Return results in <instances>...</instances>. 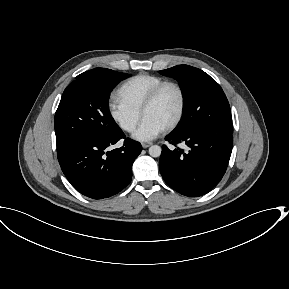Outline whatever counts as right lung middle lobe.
<instances>
[{
  "instance_id": "right-lung-middle-lobe-1",
  "label": "right lung middle lobe",
  "mask_w": 289,
  "mask_h": 289,
  "mask_svg": "<svg viewBox=\"0 0 289 289\" xmlns=\"http://www.w3.org/2000/svg\"><path fill=\"white\" fill-rule=\"evenodd\" d=\"M129 76L113 70L99 76L79 75L65 89L54 120L58 154L119 130L108 98L113 87Z\"/></svg>"
}]
</instances>
